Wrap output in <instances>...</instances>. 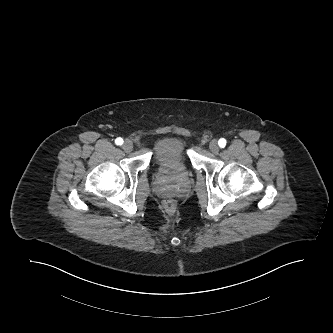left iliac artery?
I'll return each mask as SVG.
<instances>
[{
  "instance_id": "left-iliac-artery-1",
  "label": "left iliac artery",
  "mask_w": 333,
  "mask_h": 333,
  "mask_svg": "<svg viewBox=\"0 0 333 333\" xmlns=\"http://www.w3.org/2000/svg\"><path fill=\"white\" fill-rule=\"evenodd\" d=\"M218 144L221 148H224L225 145H226V140L224 138H221L219 141H218Z\"/></svg>"
}]
</instances>
